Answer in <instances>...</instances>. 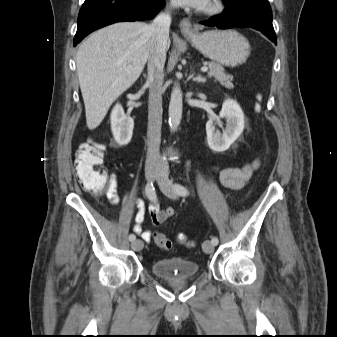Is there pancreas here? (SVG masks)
I'll list each match as a JSON object with an SVG mask.
<instances>
[{
    "instance_id": "cf45deb5",
    "label": "pancreas",
    "mask_w": 337,
    "mask_h": 337,
    "mask_svg": "<svg viewBox=\"0 0 337 337\" xmlns=\"http://www.w3.org/2000/svg\"><path fill=\"white\" fill-rule=\"evenodd\" d=\"M210 71L208 72L209 77H214L216 81H219L222 86L227 89H233L234 85L231 83V76L227 75L224 71V68L215 62L206 63Z\"/></svg>"
}]
</instances>
